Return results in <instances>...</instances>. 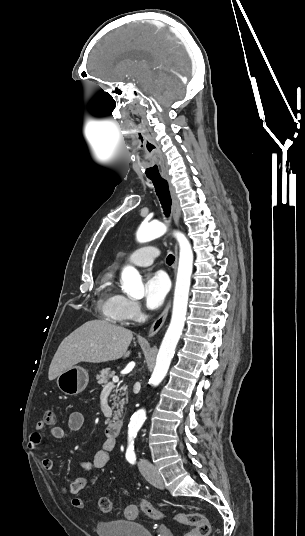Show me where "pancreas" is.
<instances>
[{"mask_svg":"<svg viewBox=\"0 0 305 536\" xmlns=\"http://www.w3.org/2000/svg\"><path fill=\"white\" fill-rule=\"evenodd\" d=\"M115 372H111V368H104V370H100L98 376H96V380H98V384H107L109 378H113ZM121 390H124V388H121ZM115 394H112V400L113 402V408H119L117 412H114V416L116 418H120L121 414H123V408H124V400H120V396H125V392L123 394H118L117 396V390H114ZM118 400H120L119 404H117Z\"/></svg>","mask_w":305,"mask_h":536,"instance_id":"1","label":"pancreas"}]
</instances>
